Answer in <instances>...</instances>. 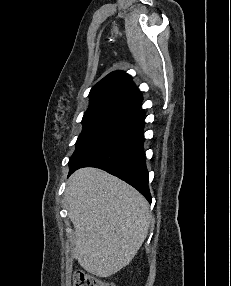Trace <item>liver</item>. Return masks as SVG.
I'll return each mask as SVG.
<instances>
[{
    "instance_id": "obj_1",
    "label": "liver",
    "mask_w": 231,
    "mask_h": 286,
    "mask_svg": "<svg viewBox=\"0 0 231 286\" xmlns=\"http://www.w3.org/2000/svg\"><path fill=\"white\" fill-rule=\"evenodd\" d=\"M65 197L81 267L101 278L126 267L148 234L147 200L124 181L96 168L74 172Z\"/></svg>"
}]
</instances>
